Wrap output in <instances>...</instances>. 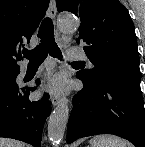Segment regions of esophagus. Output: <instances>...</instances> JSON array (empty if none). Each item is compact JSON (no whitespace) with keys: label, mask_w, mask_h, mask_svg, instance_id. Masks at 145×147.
Segmentation results:
<instances>
[{"label":"esophagus","mask_w":145,"mask_h":147,"mask_svg":"<svg viewBox=\"0 0 145 147\" xmlns=\"http://www.w3.org/2000/svg\"><path fill=\"white\" fill-rule=\"evenodd\" d=\"M57 14V7H56V1L55 0H50V5H49V16L52 19H55ZM67 99L65 96H55L52 98V105L55 107L59 105L61 102H66Z\"/></svg>","instance_id":"esophagus-1"}]
</instances>
